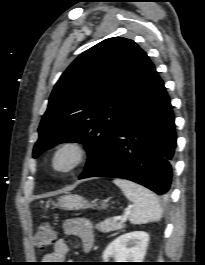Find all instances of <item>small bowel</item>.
<instances>
[{
	"instance_id": "obj_1",
	"label": "small bowel",
	"mask_w": 205,
	"mask_h": 265,
	"mask_svg": "<svg viewBox=\"0 0 205 265\" xmlns=\"http://www.w3.org/2000/svg\"><path fill=\"white\" fill-rule=\"evenodd\" d=\"M67 236H77L82 240L85 252H90L94 246V231L92 224L85 218L68 219L63 224ZM69 247L64 239H58L53 251L44 256L45 263L56 264L65 260Z\"/></svg>"
}]
</instances>
